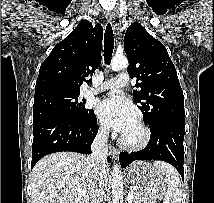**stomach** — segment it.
Here are the masks:
<instances>
[{"label": "stomach", "instance_id": "obj_1", "mask_svg": "<svg viewBox=\"0 0 214 203\" xmlns=\"http://www.w3.org/2000/svg\"><path fill=\"white\" fill-rule=\"evenodd\" d=\"M127 179L135 193L134 203H157L166 195V177L151 163L135 162L127 170Z\"/></svg>", "mask_w": 214, "mask_h": 203}]
</instances>
